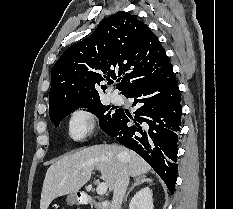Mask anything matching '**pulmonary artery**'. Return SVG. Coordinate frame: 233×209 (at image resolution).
Instances as JSON below:
<instances>
[{"label":"pulmonary artery","mask_w":233,"mask_h":209,"mask_svg":"<svg viewBox=\"0 0 233 209\" xmlns=\"http://www.w3.org/2000/svg\"><path fill=\"white\" fill-rule=\"evenodd\" d=\"M110 99L115 104L120 103L121 100H122L121 96L118 93H116V92L111 93Z\"/></svg>","instance_id":"obj_1"}]
</instances>
